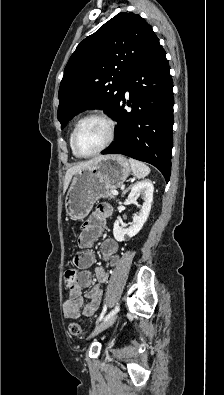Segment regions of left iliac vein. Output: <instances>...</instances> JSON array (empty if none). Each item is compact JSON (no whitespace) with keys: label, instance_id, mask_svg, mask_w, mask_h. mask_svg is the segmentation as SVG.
Wrapping results in <instances>:
<instances>
[{"label":"left iliac vein","instance_id":"obj_1","mask_svg":"<svg viewBox=\"0 0 224 395\" xmlns=\"http://www.w3.org/2000/svg\"><path fill=\"white\" fill-rule=\"evenodd\" d=\"M117 313L113 314L112 316H110L109 318L105 319L101 324L97 325L95 327V329L93 330L91 336H95L97 334H99L100 332H102L103 330L109 328L110 326H112L114 324V322L116 321L117 318Z\"/></svg>","mask_w":224,"mask_h":395}]
</instances>
